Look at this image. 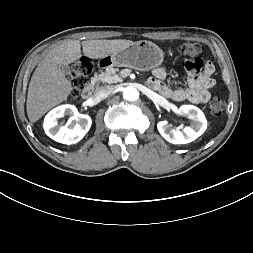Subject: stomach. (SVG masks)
Returning <instances> with one entry per match:
<instances>
[{"instance_id":"obj_1","label":"stomach","mask_w":253,"mask_h":253,"mask_svg":"<svg viewBox=\"0 0 253 253\" xmlns=\"http://www.w3.org/2000/svg\"><path fill=\"white\" fill-rule=\"evenodd\" d=\"M163 59L164 53L156 44L142 40L103 57L101 67L108 69L118 66L147 71L161 65Z\"/></svg>"}]
</instances>
